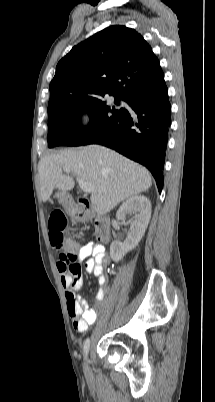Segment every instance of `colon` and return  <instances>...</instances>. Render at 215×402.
Masks as SVG:
<instances>
[{"mask_svg": "<svg viewBox=\"0 0 215 402\" xmlns=\"http://www.w3.org/2000/svg\"><path fill=\"white\" fill-rule=\"evenodd\" d=\"M66 224L67 220L64 213L61 211L54 212L49 219V238L52 246L62 250L59 258L61 262L69 271H75L79 269L75 250H80L82 244L76 238H67L65 240L63 230Z\"/></svg>", "mask_w": 215, "mask_h": 402, "instance_id": "colon-1", "label": "colon"}]
</instances>
